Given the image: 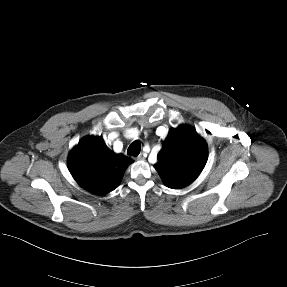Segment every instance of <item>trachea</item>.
<instances>
[{
    "label": "trachea",
    "instance_id": "obj_1",
    "mask_svg": "<svg viewBox=\"0 0 287 287\" xmlns=\"http://www.w3.org/2000/svg\"><path fill=\"white\" fill-rule=\"evenodd\" d=\"M140 151H141V144L138 140H136L129 146L127 154L130 156H138Z\"/></svg>",
    "mask_w": 287,
    "mask_h": 287
}]
</instances>
